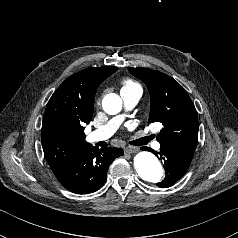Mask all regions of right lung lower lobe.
I'll return each instance as SVG.
<instances>
[{
  "instance_id": "obj_1",
  "label": "right lung lower lobe",
  "mask_w": 238,
  "mask_h": 238,
  "mask_svg": "<svg viewBox=\"0 0 238 238\" xmlns=\"http://www.w3.org/2000/svg\"><path fill=\"white\" fill-rule=\"evenodd\" d=\"M123 154L122 148L99 149L92 146L55 176L65 188L73 193H92L103 186L112 161Z\"/></svg>"
}]
</instances>
